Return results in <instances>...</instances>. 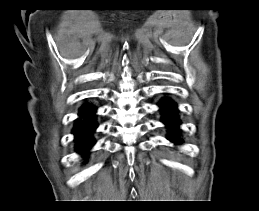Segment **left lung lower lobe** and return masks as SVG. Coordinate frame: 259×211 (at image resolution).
Returning a JSON list of instances; mask_svg holds the SVG:
<instances>
[{"mask_svg":"<svg viewBox=\"0 0 259 211\" xmlns=\"http://www.w3.org/2000/svg\"><path fill=\"white\" fill-rule=\"evenodd\" d=\"M163 112V123L169 129L168 139L174 143H180L181 139L178 137L179 120L176 114V105L170 100H162L159 104Z\"/></svg>","mask_w":259,"mask_h":211,"instance_id":"0a47b994","label":"left lung lower lobe"}]
</instances>
